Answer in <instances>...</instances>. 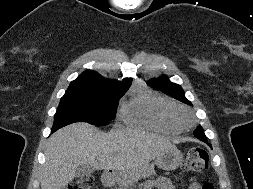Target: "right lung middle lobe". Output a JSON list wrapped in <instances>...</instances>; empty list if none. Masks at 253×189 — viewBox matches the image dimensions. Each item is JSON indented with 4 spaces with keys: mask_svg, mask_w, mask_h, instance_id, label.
Masks as SVG:
<instances>
[{
    "mask_svg": "<svg viewBox=\"0 0 253 189\" xmlns=\"http://www.w3.org/2000/svg\"><path fill=\"white\" fill-rule=\"evenodd\" d=\"M127 90L70 91L60 100L54 129L74 122L104 126L116 116L119 99Z\"/></svg>",
    "mask_w": 253,
    "mask_h": 189,
    "instance_id": "1",
    "label": "right lung middle lobe"
}]
</instances>
